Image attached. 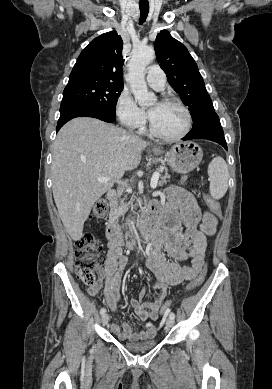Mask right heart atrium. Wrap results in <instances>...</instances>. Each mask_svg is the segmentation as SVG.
<instances>
[{
    "mask_svg": "<svg viewBox=\"0 0 272 389\" xmlns=\"http://www.w3.org/2000/svg\"><path fill=\"white\" fill-rule=\"evenodd\" d=\"M116 114L122 125L135 130L142 129L147 120L146 113L126 90H123L118 96Z\"/></svg>",
    "mask_w": 272,
    "mask_h": 389,
    "instance_id": "1",
    "label": "right heart atrium"
}]
</instances>
